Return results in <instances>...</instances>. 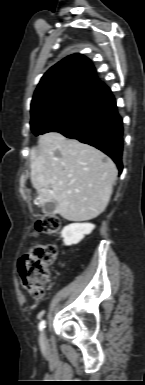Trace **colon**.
<instances>
[{
  "mask_svg": "<svg viewBox=\"0 0 145 385\" xmlns=\"http://www.w3.org/2000/svg\"><path fill=\"white\" fill-rule=\"evenodd\" d=\"M61 228L58 216L46 214L34 225L36 235H52ZM57 258L54 244H38L25 253L19 261V274L25 290L36 299L44 296L46 284L50 278V268Z\"/></svg>",
  "mask_w": 145,
  "mask_h": 385,
  "instance_id": "colon-1",
  "label": "colon"
}]
</instances>
